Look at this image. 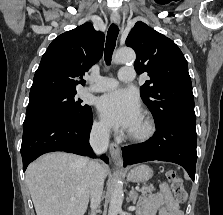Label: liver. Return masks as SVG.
I'll return each instance as SVG.
<instances>
[{
    "instance_id": "liver-1",
    "label": "liver",
    "mask_w": 223,
    "mask_h": 215,
    "mask_svg": "<svg viewBox=\"0 0 223 215\" xmlns=\"http://www.w3.org/2000/svg\"><path fill=\"white\" fill-rule=\"evenodd\" d=\"M102 167L107 175V165ZM25 181L37 215H84L90 193L87 157L45 153L28 165Z\"/></svg>"
}]
</instances>
